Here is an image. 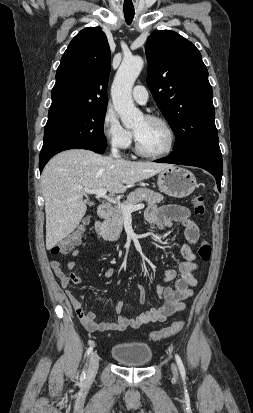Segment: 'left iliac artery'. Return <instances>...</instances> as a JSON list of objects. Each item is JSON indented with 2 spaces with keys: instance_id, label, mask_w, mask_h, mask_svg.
<instances>
[{
  "instance_id": "obj_1",
  "label": "left iliac artery",
  "mask_w": 253,
  "mask_h": 413,
  "mask_svg": "<svg viewBox=\"0 0 253 413\" xmlns=\"http://www.w3.org/2000/svg\"><path fill=\"white\" fill-rule=\"evenodd\" d=\"M175 358H176V362H177V365H178L179 370H180L181 377H182L183 379H185V377H186V371H185L183 362H182V360H181V358H180V356H179L178 354L175 355Z\"/></svg>"
}]
</instances>
